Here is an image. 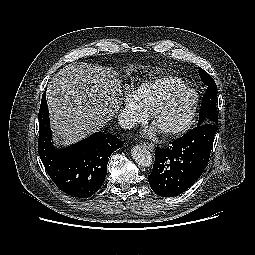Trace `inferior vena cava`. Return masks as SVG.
Instances as JSON below:
<instances>
[{"label":"inferior vena cava","mask_w":255,"mask_h":255,"mask_svg":"<svg viewBox=\"0 0 255 255\" xmlns=\"http://www.w3.org/2000/svg\"><path fill=\"white\" fill-rule=\"evenodd\" d=\"M118 123L121 128L130 129L135 126L136 121L129 114L122 112L118 116Z\"/></svg>","instance_id":"602c4592"}]
</instances>
